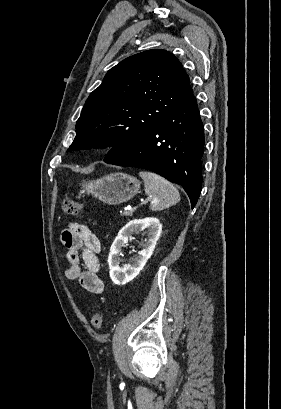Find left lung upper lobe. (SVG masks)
Instances as JSON below:
<instances>
[{
  "label": "left lung upper lobe",
  "instance_id": "1",
  "mask_svg": "<svg viewBox=\"0 0 281 409\" xmlns=\"http://www.w3.org/2000/svg\"><path fill=\"white\" fill-rule=\"evenodd\" d=\"M191 94L189 77L173 54L155 49L130 56L88 97L67 151L114 145L104 159L108 163Z\"/></svg>",
  "mask_w": 281,
  "mask_h": 409
}]
</instances>
